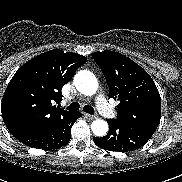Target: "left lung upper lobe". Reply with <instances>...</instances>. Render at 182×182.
<instances>
[{
  "mask_svg": "<svg viewBox=\"0 0 182 182\" xmlns=\"http://www.w3.org/2000/svg\"><path fill=\"white\" fill-rule=\"evenodd\" d=\"M101 69L109 98L118 99V122L133 123L156 129L161 117V99L150 75L130 58L115 51L94 52Z\"/></svg>",
  "mask_w": 182,
  "mask_h": 182,
  "instance_id": "5c2ea615",
  "label": "left lung upper lobe"
}]
</instances>
